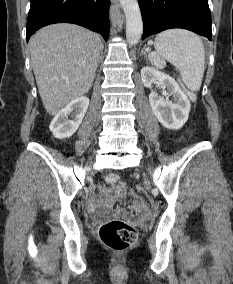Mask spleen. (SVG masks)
Here are the masks:
<instances>
[{
  "label": "spleen",
  "instance_id": "1",
  "mask_svg": "<svg viewBox=\"0 0 233 284\" xmlns=\"http://www.w3.org/2000/svg\"><path fill=\"white\" fill-rule=\"evenodd\" d=\"M156 53L149 54L151 62L158 57L169 61L180 71L185 86L199 91L205 70V50L202 40L184 29H170L159 33L154 40Z\"/></svg>",
  "mask_w": 233,
  "mask_h": 284
}]
</instances>
